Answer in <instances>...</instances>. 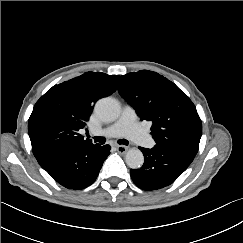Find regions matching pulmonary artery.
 Returning <instances> with one entry per match:
<instances>
[{
  "label": "pulmonary artery",
  "instance_id": "obj_1",
  "mask_svg": "<svg viewBox=\"0 0 243 243\" xmlns=\"http://www.w3.org/2000/svg\"><path fill=\"white\" fill-rule=\"evenodd\" d=\"M91 134L105 137L127 136L143 146L152 144V138L140 127L135 110L130 106L124 108L117 122L104 129H92Z\"/></svg>",
  "mask_w": 243,
  "mask_h": 243
}]
</instances>
